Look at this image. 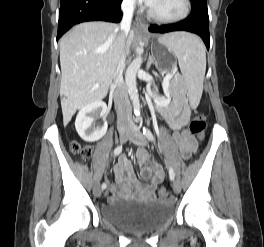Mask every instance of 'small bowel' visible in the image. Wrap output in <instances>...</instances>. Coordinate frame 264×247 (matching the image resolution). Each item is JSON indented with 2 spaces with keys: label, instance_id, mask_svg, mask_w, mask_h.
Here are the masks:
<instances>
[{
  "label": "small bowel",
  "instance_id": "1",
  "mask_svg": "<svg viewBox=\"0 0 264 247\" xmlns=\"http://www.w3.org/2000/svg\"><path fill=\"white\" fill-rule=\"evenodd\" d=\"M188 117V111H184L176 116H168V122L174 130V140L183 158L186 160L192 157L197 147L195 138L188 131L179 132L187 122ZM136 156L141 165V177L145 180H150V183L142 186L136 179L132 164L126 157L122 156L114 167L118 184L117 186L112 185L109 187V191L112 193L108 197L110 201H114L118 197H130L133 194L143 199H152L154 197L156 188L164 178L163 170L158 163L149 161L147 149L139 148Z\"/></svg>",
  "mask_w": 264,
  "mask_h": 247
}]
</instances>
